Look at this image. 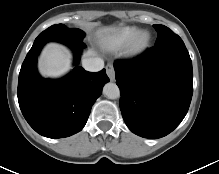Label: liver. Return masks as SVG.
Here are the masks:
<instances>
[{
  "instance_id": "1",
  "label": "liver",
  "mask_w": 219,
  "mask_h": 174,
  "mask_svg": "<svg viewBox=\"0 0 219 174\" xmlns=\"http://www.w3.org/2000/svg\"><path fill=\"white\" fill-rule=\"evenodd\" d=\"M109 28L103 31H109ZM94 55V52L89 50L85 57ZM39 68L42 75L47 77H59L71 68L70 55L62 47L57 44H48L43 50L39 62Z\"/></svg>"
}]
</instances>
